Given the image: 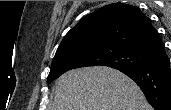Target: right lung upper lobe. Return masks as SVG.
<instances>
[{"mask_svg": "<svg viewBox=\"0 0 171 110\" xmlns=\"http://www.w3.org/2000/svg\"><path fill=\"white\" fill-rule=\"evenodd\" d=\"M91 45L123 46L151 55L164 43L138 7L113 3L82 18L65 35L56 54Z\"/></svg>", "mask_w": 171, "mask_h": 110, "instance_id": "1", "label": "right lung upper lobe"}]
</instances>
